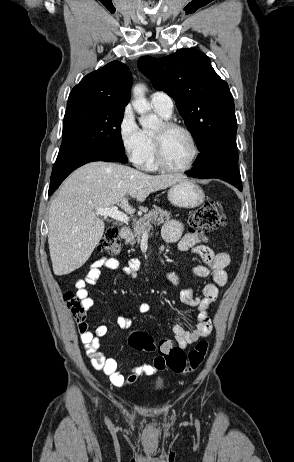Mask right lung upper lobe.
<instances>
[{"label": "right lung upper lobe", "mask_w": 294, "mask_h": 462, "mask_svg": "<svg viewBox=\"0 0 294 462\" xmlns=\"http://www.w3.org/2000/svg\"><path fill=\"white\" fill-rule=\"evenodd\" d=\"M132 75L119 61H112L86 75L70 92L67 106L107 104L126 106L130 100Z\"/></svg>", "instance_id": "1"}]
</instances>
